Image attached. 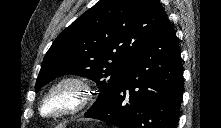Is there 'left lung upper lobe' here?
<instances>
[{"label":"left lung upper lobe","instance_id":"1","mask_svg":"<svg viewBox=\"0 0 221 128\" xmlns=\"http://www.w3.org/2000/svg\"><path fill=\"white\" fill-rule=\"evenodd\" d=\"M167 20L158 0H100L55 39L35 91L62 75L84 76L99 86L88 112L96 110L113 96L133 60Z\"/></svg>","mask_w":221,"mask_h":128}]
</instances>
